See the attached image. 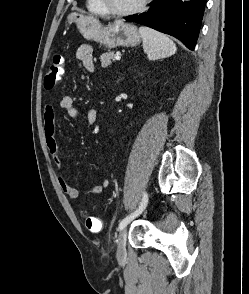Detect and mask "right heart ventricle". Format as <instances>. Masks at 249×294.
<instances>
[{
	"label": "right heart ventricle",
	"mask_w": 249,
	"mask_h": 294,
	"mask_svg": "<svg viewBox=\"0 0 249 294\" xmlns=\"http://www.w3.org/2000/svg\"><path fill=\"white\" fill-rule=\"evenodd\" d=\"M86 4L90 12L97 15H106L103 8L99 5L98 0H86Z\"/></svg>",
	"instance_id": "1"
}]
</instances>
